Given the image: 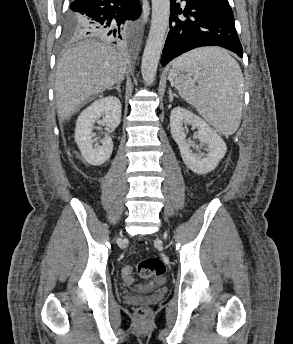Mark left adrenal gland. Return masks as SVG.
<instances>
[{
	"label": "left adrenal gland",
	"instance_id": "a2214340",
	"mask_svg": "<svg viewBox=\"0 0 293 344\" xmlns=\"http://www.w3.org/2000/svg\"><path fill=\"white\" fill-rule=\"evenodd\" d=\"M174 97L178 98V96L169 89V101L172 102Z\"/></svg>",
	"mask_w": 293,
	"mask_h": 344
}]
</instances>
